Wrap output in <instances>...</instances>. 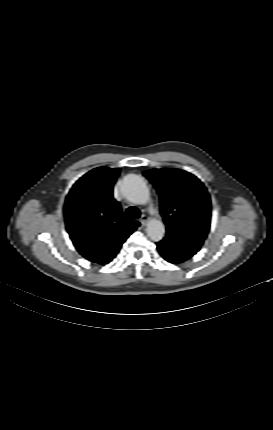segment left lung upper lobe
Segmentation results:
<instances>
[{"instance_id": "left-lung-upper-lobe-1", "label": "left lung upper lobe", "mask_w": 273, "mask_h": 430, "mask_svg": "<svg viewBox=\"0 0 273 430\" xmlns=\"http://www.w3.org/2000/svg\"><path fill=\"white\" fill-rule=\"evenodd\" d=\"M143 174L160 195L166 235L159 243L169 254H196L210 229L211 201L203 183L179 169H152Z\"/></svg>"}]
</instances>
